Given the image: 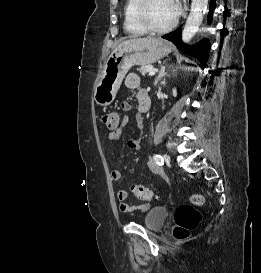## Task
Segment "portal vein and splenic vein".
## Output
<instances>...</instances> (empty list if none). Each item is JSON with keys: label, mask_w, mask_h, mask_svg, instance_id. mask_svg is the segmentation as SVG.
<instances>
[{"label": "portal vein and splenic vein", "mask_w": 261, "mask_h": 273, "mask_svg": "<svg viewBox=\"0 0 261 273\" xmlns=\"http://www.w3.org/2000/svg\"><path fill=\"white\" fill-rule=\"evenodd\" d=\"M155 73H156V70H152V71L149 72V75L152 76V75H154Z\"/></svg>", "instance_id": "18ae733b"}]
</instances>
